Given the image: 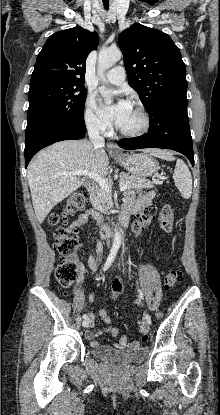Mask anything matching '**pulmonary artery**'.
<instances>
[{"label":"pulmonary artery","instance_id":"e3ab8cb5","mask_svg":"<svg viewBox=\"0 0 220 415\" xmlns=\"http://www.w3.org/2000/svg\"><path fill=\"white\" fill-rule=\"evenodd\" d=\"M106 80L114 85H120L125 80V73L124 69L121 66H117L112 68L108 73L106 74Z\"/></svg>","mask_w":220,"mask_h":415}]
</instances>
